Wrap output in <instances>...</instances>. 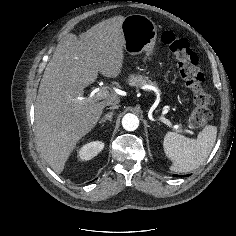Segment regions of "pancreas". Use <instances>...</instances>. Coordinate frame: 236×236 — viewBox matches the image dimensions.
<instances>
[{
  "mask_svg": "<svg viewBox=\"0 0 236 236\" xmlns=\"http://www.w3.org/2000/svg\"><path fill=\"white\" fill-rule=\"evenodd\" d=\"M128 83L130 86H135V87H141L146 84L156 85L155 82H152L151 80H149L148 77H143L141 75H138V76L131 75L128 79ZM177 132H181V130L178 129Z\"/></svg>",
  "mask_w": 236,
  "mask_h": 236,
  "instance_id": "obj_1",
  "label": "pancreas"
}]
</instances>
